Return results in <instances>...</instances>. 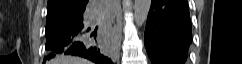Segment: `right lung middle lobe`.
<instances>
[{
  "mask_svg": "<svg viewBox=\"0 0 242 64\" xmlns=\"http://www.w3.org/2000/svg\"><path fill=\"white\" fill-rule=\"evenodd\" d=\"M85 8L74 11H60L47 13V24L45 35H48L54 29L71 24L84 19Z\"/></svg>",
  "mask_w": 242,
  "mask_h": 64,
  "instance_id": "right-lung-middle-lobe-1",
  "label": "right lung middle lobe"
}]
</instances>
